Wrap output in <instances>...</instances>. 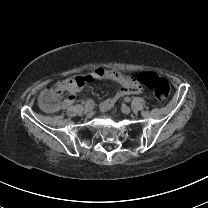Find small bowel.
<instances>
[{
    "instance_id": "1",
    "label": "small bowel",
    "mask_w": 208,
    "mask_h": 208,
    "mask_svg": "<svg viewBox=\"0 0 208 208\" xmlns=\"http://www.w3.org/2000/svg\"><path fill=\"white\" fill-rule=\"evenodd\" d=\"M100 78L111 79L121 84V88L119 90L101 103V109L104 111H108L113 108L118 100L127 95L140 94L142 92L141 87L129 75L113 70H107L103 67H97L89 74L67 78L72 84V93L63 102L62 109H69V106L74 102L76 93L80 91L87 82Z\"/></svg>"
}]
</instances>
